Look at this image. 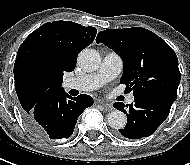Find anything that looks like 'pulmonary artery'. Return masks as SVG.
Returning a JSON list of instances; mask_svg holds the SVG:
<instances>
[{
	"mask_svg": "<svg viewBox=\"0 0 190 165\" xmlns=\"http://www.w3.org/2000/svg\"><path fill=\"white\" fill-rule=\"evenodd\" d=\"M122 68L123 61L121 57L114 52H109L103 57L102 63L97 72L68 78L65 81L64 86L67 89L92 91L115 79L121 73ZM133 102L134 96L129 95L127 97V103L131 104Z\"/></svg>",
	"mask_w": 190,
	"mask_h": 165,
	"instance_id": "obj_1",
	"label": "pulmonary artery"
}]
</instances>
